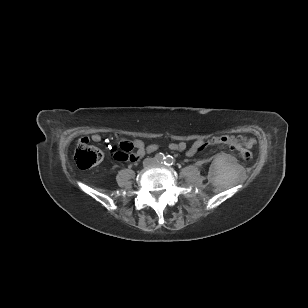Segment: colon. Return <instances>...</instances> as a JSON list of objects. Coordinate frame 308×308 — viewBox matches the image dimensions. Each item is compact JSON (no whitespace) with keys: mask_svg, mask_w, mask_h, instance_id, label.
Masks as SVG:
<instances>
[{"mask_svg":"<svg viewBox=\"0 0 308 308\" xmlns=\"http://www.w3.org/2000/svg\"><path fill=\"white\" fill-rule=\"evenodd\" d=\"M208 145H225L230 149L237 150L241 157L246 161H250L253 158V154L249 149L253 146V143L242 137H236L233 135L213 137L204 142L201 149ZM131 151L132 147L129 144L120 143L119 147L114 151L113 157L119 162L132 160L133 153H131ZM74 159L79 168L89 169L98 165L102 161L103 152L90 145L88 139L81 138L77 143Z\"/></svg>","mask_w":308,"mask_h":308,"instance_id":"5ec220e1","label":"colon"}]
</instances>
